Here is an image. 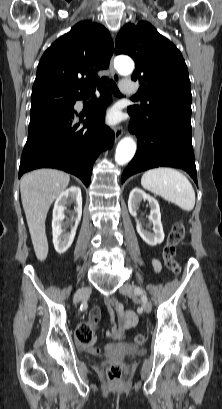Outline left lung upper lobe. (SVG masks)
I'll use <instances>...</instances> for the list:
<instances>
[{"instance_id":"1","label":"left lung upper lobe","mask_w":222,"mask_h":409,"mask_svg":"<svg viewBox=\"0 0 222 409\" xmlns=\"http://www.w3.org/2000/svg\"><path fill=\"white\" fill-rule=\"evenodd\" d=\"M115 53L127 54L136 63L132 79L141 85L142 103L129 111L147 115L174 109L191 117V84L185 61L177 47L150 23L126 24L117 35Z\"/></svg>"}]
</instances>
